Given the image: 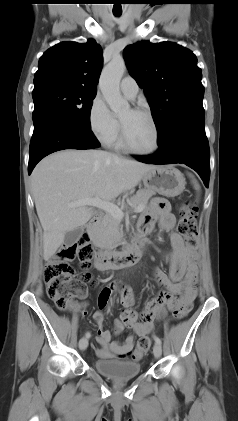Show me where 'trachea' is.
<instances>
[{"label": "trachea", "instance_id": "3493384b", "mask_svg": "<svg viewBox=\"0 0 238 421\" xmlns=\"http://www.w3.org/2000/svg\"><path fill=\"white\" fill-rule=\"evenodd\" d=\"M114 15H115V16H120V15H121V13H114Z\"/></svg>", "mask_w": 238, "mask_h": 421}]
</instances>
